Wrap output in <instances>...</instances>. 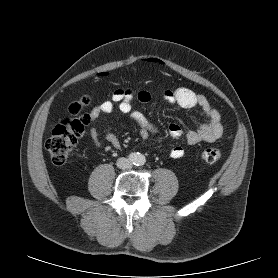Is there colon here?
<instances>
[{"label":"colon","instance_id":"1","mask_svg":"<svg viewBox=\"0 0 278 278\" xmlns=\"http://www.w3.org/2000/svg\"><path fill=\"white\" fill-rule=\"evenodd\" d=\"M89 103L87 96L73 102L68 108L69 115L53 128L50 137L46 140V150L55 165H63L67 161L83 135L85 126L90 122V116L84 113ZM221 157L220 149L214 147L205 148L200 153L201 160L206 164H214Z\"/></svg>","mask_w":278,"mask_h":278}]
</instances>
